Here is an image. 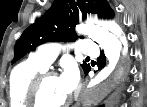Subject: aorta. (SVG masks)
I'll use <instances>...</instances> for the list:
<instances>
[{
  "mask_svg": "<svg viewBox=\"0 0 147 107\" xmlns=\"http://www.w3.org/2000/svg\"><path fill=\"white\" fill-rule=\"evenodd\" d=\"M76 31L96 41L109 61L108 66L90 82L82 97L84 106H93L99 103L121 79L124 73L126 41L120 28L111 22L81 24L77 26Z\"/></svg>",
  "mask_w": 147,
  "mask_h": 107,
  "instance_id": "1",
  "label": "aorta"
}]
</instances>
